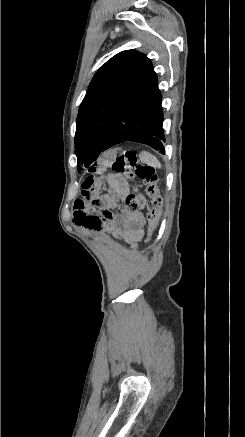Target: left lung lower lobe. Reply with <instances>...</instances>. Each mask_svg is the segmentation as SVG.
Instances as JSON below:
<instances>
[{"label":"left lung lower lobe","instance_id":"0a47b994","mask_svg":"<svg viewBox=\"0 0 245 437\" xmlns=\"http://www.w3.org/2000/svg\"><path fill=\"white\" fill-rule=\"evenodd\" d=\"M162 96L152 70L112 126L101 152L124 141L143 143L165 153Z\"/></svg>","mask_w":245,"mask_h":437}]
</instances>
